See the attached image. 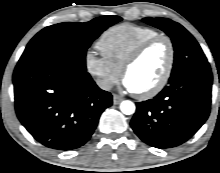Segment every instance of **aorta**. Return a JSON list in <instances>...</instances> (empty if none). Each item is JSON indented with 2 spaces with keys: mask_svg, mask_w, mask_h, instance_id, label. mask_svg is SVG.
<instances>
[{
  "mask_svg": "<svg viewBox=\"0 0 220 173\" xmlns=\"http://www.w3.org/2000/svg\"><path fill=\"white\" fill-rule=\"evenodd\" d=\"M120 110L125 115H131L135 112V104L132 101L125 100L120 104Z\"/></svg>",
  "mask_w": 220,
  "mask_h": 173,
  "instance_id": "762f6f07",
  "label": "aorta"
}]
</instances>
